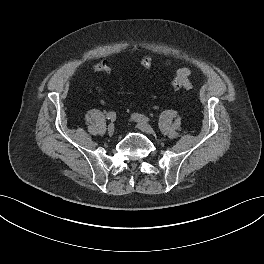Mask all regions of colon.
<instances>
[{
  "label": "colon",
  "mask_w": 264,
  "mask_h": 264,
  "mask_svg": "<svg viewBox=\"0 0 264 264\" xmlns=\"http://www.w3.org/2000/svg\"><path fill=\"white\" fill-rule=\"evenodd\" d=\"M140 65L148 69L152 66V58L149 56L143 57L140 61ZM96 70L109 73L111 71V66L108 62H101L96 66ZM190 70L187 68H180L177 70L175 77L171 81V86L175 89H191L192 84L189 80Z\"/></svg>",
  "instance_id": "5ec220e1"
}]
</instances>
